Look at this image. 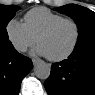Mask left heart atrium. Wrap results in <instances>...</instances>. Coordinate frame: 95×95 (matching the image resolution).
<instances>
[{"label": "left heart atrium", "instance_id": "1", "mask_svg": "<svg viewBox=\"0 0 95 95\" xmlns=\"http://www.w3.org/2000/svg\"><path fill=\"white\" fill-rule=\"evenodd\" d=\"M34 53L47 56L45 50L40 45L36 47V49L34 50Z\"/></svg>", "mask_w": 95, "mask_h": 95}]
</instances>
